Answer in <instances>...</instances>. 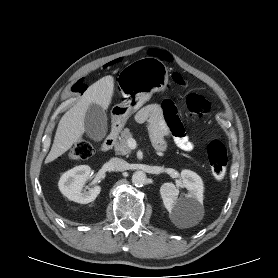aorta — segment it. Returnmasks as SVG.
I'll list each match as a JSON object with an SVG mask.
<instances>
[{
	"instance_id": "762f6f07",
	"label": "aorta",
	"mask_w": 278,
	"mask_h": 278,
	"mask_svg": "<svg viewBox=\"0 0 278 278\" xmlns=\"http://www.w3.org/2000/svg\"><path fill=\"white\" fill-rule=\"evenodd\" d=\"M147 176L143 171H136L132 175V183L135 186H143L146 183Z\"/></svg>"
}]
</instances>
